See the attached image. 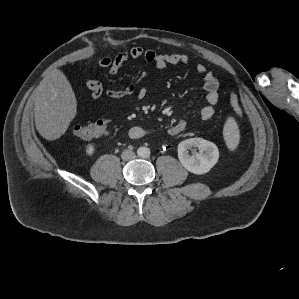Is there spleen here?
Instances as JSON below:
<instances>
[{
  "instance_id": "spleen-1",
  "label": "spleen",
  "mask_w": 299,
  "mask_h": 299,
  "mask_svg": "<svg viewBox=\"0 0 299 299\" xmlns=\"http://www.w3.org/2000/svg\"><path fill=\"white\" fill-rule=\"evenodd\" d=\"M223 135L225 142L230 150L236 149L239 143L238 125L234 118L229 117L224 125Z\"/></svg>"
}]
</instances>
